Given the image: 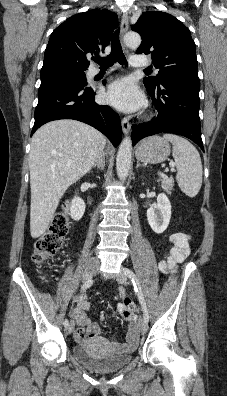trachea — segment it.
Instances as JSON below:
<instances>
[{
    "mask_svg": "<svg viewBox=\"0 0 227 396\" xmlns=\"http://www.w3.org/2000/svg\"><path fill=\"white\" fill-rule=\"evenodd\" d=\"M94 61L100 65L101 68H108L112 66L114 63L118 62L121 65L127 66L126 57L123 54L122 47L119 41V33L118 30L114 32L112 41H111V53L107 57H98L95 58ZM145 71H150L149 69H145Z\"/></svg>",
    "mask_w": 227,
    "mask_h": 396,
    "instance_id": "trachea-1",
    "label": "trachea"
}]
</instances>
